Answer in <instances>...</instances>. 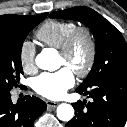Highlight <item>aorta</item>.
Instances as JSON below:
<instances>
[{"mask_svg":"<svg viewBox=\"0 0 127 127\" xmlns=\"http://www.w3.org/2000/svg\"><path fill=\"white\" fill-rule=\"evenodd\" d=\"M36 65L43 70H54V56L47 49L43 50L36 57ZM74 116V108L67 103L60 104L57 107V117L62 121H70Z\"/></svg>","mask_w":127,"mask_h":127,"instance_id":"aorta-1","label":"aorta"}]
</instances>
